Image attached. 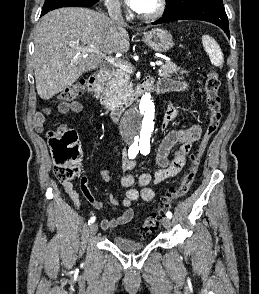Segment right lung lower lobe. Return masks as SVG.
I'll return each instance as SVG.
<instances>
[{"mask_svg": "<svg viewBox=\"0 0 259 294\" xmlns=\"http://www.w3.org/2000/svg\"><path fill=\"white\" fill-rule=\"evenodd\" d=\"M61 7H69V6H61ZM61 7H58V8H61ZM57 9V8H56Z\"/></svg>", "mask_w": 259, "mask_h": 294, "instance_id": "right-lung-lower-lobe-1", "label": "right lung lower lobe"}]
</instances>
